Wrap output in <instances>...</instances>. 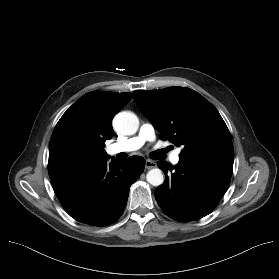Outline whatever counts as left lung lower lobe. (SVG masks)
I'll use <instances>...</instances> for the list:
<instances>
[{
	"label": "left lung lower lobe",
	"instance_id": "left-lung-lower-lobe-1",
	"mask_svg": "<svg viewBox=\"0 0 279 279\" xmlns=\"http://www.w3.org/2000/svg\"><path fill=\"white\" fill-rule=\"evenodd\" d=\"M165 181L155 192L158 205L172 219L188 222L208 215L226 192L233 161L179 157L173 166L159 161Z\"/></svg>",
	"mask_w": 279,
	"mask_h": 279
}]
</instances>
